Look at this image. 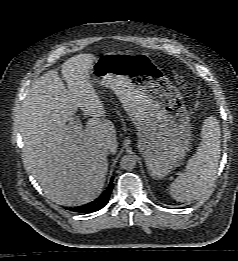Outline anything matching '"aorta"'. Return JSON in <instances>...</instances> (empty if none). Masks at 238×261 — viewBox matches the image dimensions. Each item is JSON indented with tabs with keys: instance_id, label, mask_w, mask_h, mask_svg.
<instances>
[{
	"instance_id": "obj_1",
	"label": "aorta",
	"mask_w": 238,
	"mask_h": 261,
	"mask_svg": "<svg viewBox=\"0 0 238 261\" xmlns=\"http://www.w3.org/2000/svg\"><path fill=\"white\" fill-rule=\"evenodd\" d=\"M136 162H137L136 157L134 155L128 154V155H124L121 158L120 165L125 170H132L135 168Z\"/></svg>"
}]
</instances>
